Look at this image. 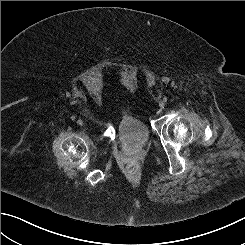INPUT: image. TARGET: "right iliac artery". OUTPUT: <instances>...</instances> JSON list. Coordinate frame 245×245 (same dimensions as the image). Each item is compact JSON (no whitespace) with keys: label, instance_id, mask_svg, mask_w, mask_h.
I'll use <instances>...</instances> for the list:
<instances>
[{"label":"right iliac artery","instance_id":"1","mask_svg":"<svg viewBox=\"0 0 245 245\" xmlns=\"http://www.w3.org/2000/svg\"><path fill=\"white\" fill-rule=\"evenodd\" d=\"M71 120H73V121H74V120H75V116H71Z\"/></svg>","mask_w":245,"mask_h":245}]
</instances>
